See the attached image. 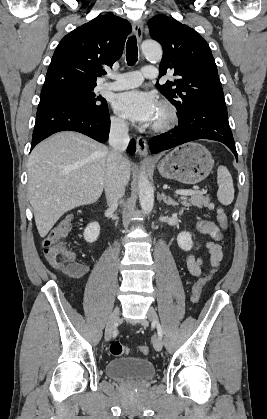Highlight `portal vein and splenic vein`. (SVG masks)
Listing matches in <instances>:
<instances>
[{
    "instance_id": "18ae733b",
    "label": "portal vein and splenic vein",
    "mask_w": 267,
    "mask_h": 419,
    "mask_svg": "<svg viewBox=\"0 0 267 419\" xmlns=\"http://www.w3.org/2000/svg\"><path fill=\"white\" fill-rule=\"evenodd\" d=\"M195 193H200V191L199 190H176L175 191L176 195H182V196H189Z\"/></svg>"
}]
</instances>
